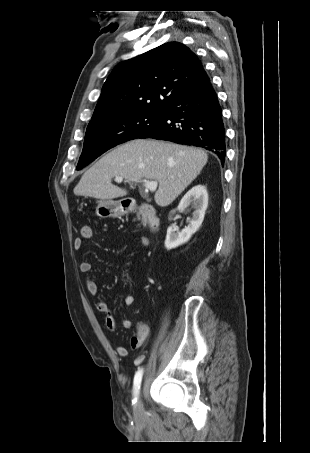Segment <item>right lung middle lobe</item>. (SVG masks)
<instances>
[{
	"label": "right lung middle lobe",
	"mask_w": 310,
	"mask_h": 453,
	"mask_svg": "<svg viewBox=\"0 0 310 453\" xmlns=\"http://www.w3.org/2000/svg\"><path fill=\"white\" fill-rule=\"evenodd\" d=\"M163 110L114 114L89 123L77 169H82L110 148L140 135L155 126Z\"/></svg>",
	"instance_id": "right-lung-middle-lobe-1"
}]
</instances>
